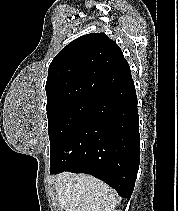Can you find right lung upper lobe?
<instances>
[{
  "label": "right lung upper lobe",
  "mask_w": 178,
  "mask_h": 211,
  "mask_svg": "<svg viewBox=\"0 0 178 211\" xmlns=\"http://www.w3.org/2000/svg\"><path fill=\"white\" fill-rule=\"evenodd\" d=\"M131 81L129 65L113 40L104 33L83 35L51 62L46 109L76 99L98 100Z\"/></svg>",
  "instance_id": "1"
}]
</instances>
